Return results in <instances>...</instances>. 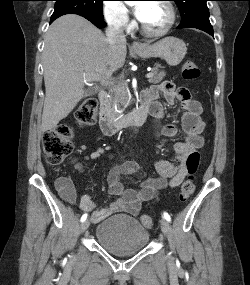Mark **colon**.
<instances>
[{"mask_svg":"<svg viewBox=\"0 0 250 285\" xmlns=\"http://www.w3.org/2000/svg\"><path fill=\"white\" fill-rule=\"evenodd\" d=\"M200 76V69L193 61H186L182 66V77L186 80H194ZM97 115V102L88 99L81 104L76 112V122L82 126L94 123ZM73 129L62 125L48 130L43 135V151L48 163L56 165L63 162L73 151ZM200 153L192 151L186 159L188 178L183 182L180 189V199L187 200L195 191L194 175L200 164ZM141 224L145 228H152L153 219L149 215H142Z\"/></svg>","mask_w":250,"mask_h":285,"instance_id":"colon-1","label":"colon"}]
</instances>
